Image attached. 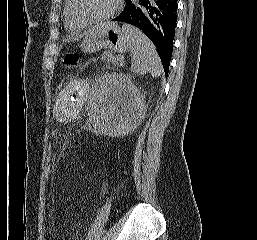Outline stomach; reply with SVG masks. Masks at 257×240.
Returning a JSON list of instances; mask_svg holds the SVG:
<instances>
[{"instance_id":"stomach-1","label":"stomach","mask_w":257,"mask_h":240,"mask_svg":"<svg viewBox=\"0 0 257 240\" xmlns=\"http://www.w3.org/2000/svg\"><path fill=\"white\" fill-rule=\"evenodd\" d=\"M80 48L82 52L87 54L94 53L102 48L123 53L128 48L127 32L116 23H101L86 33Z\"/></svg>"}]
</instances>
